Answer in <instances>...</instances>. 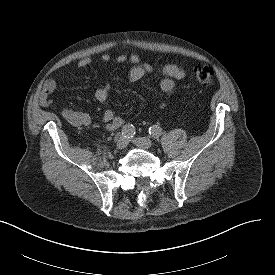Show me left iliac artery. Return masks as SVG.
Returning <instances> with one entry per match:
<instances>
[{"instance_id":"left-iliac-artery-1","label":"left iliac artery","mask_w":275,"mask_h":275,"mask_svg":"<svg viewBox=\"0 0 275 275\" xmlns=\"http://www.w3.org/2000/svg\"><path fill=\"white\" fill-rule=\"evenodd\" d=\"M149 134L153 138H159L162 135V128L157 125H153L149 128Z\"/></svg>"}]
</instances>
